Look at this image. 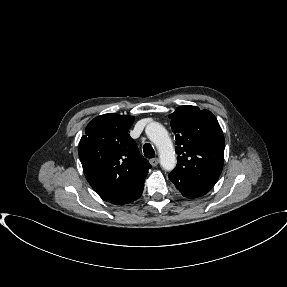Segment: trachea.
<instances>
[{"instance_id":"1","label":"trachea","mask_w":287,"mask_h":287,"mask_svg":"<svg viewBox=\"0 0 287 287\" xmlns=\"http://www.w3.org/2000/svg\"><path fill=\"white\" fill-rule=\"evenodd\" d=\"M143 152H144V156L146 158H154L155 157V151L149 143L144 144Z\"/></svg>"}]
</instances>
